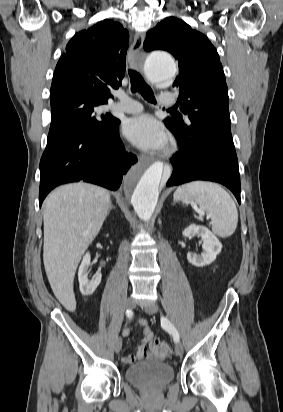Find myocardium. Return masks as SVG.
<instances>
[{
    "mask_svg": "<svg viewBox=\"0 0 283 412\" xmlns=\"http://www.w3.org/2000/svg\"><path fill=\"white\" fill-rule=\"evenodd\" d=\"M174 152V145L170 144L164 151L165 156H169Z\"/></svg>",
    "mask_w": 283,
    "mask_h": 412,
    "instance_id": "f54148a6",
    "label": "myocardium"
}]
</instances>
